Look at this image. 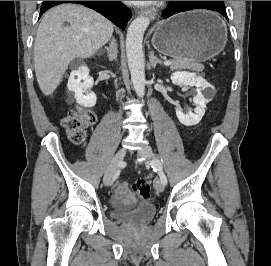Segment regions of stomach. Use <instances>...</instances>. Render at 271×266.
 <instances>
[{"label":"stomach","mask_w":271,"mask_h":266,"mask_svg":"<svg viewBox=\"0 0 271 266\" xmlns=\"http://www.w3.org/2000/svg\"><path fill=\"white\" fill-rule=\"evenodd\" d=\"M226 41L225 24L217 14L206 10L181 13L158 22L151 40L158 52L195 63L219 54Z\"/></svg>","instance_id":"1"}]
</instances>
